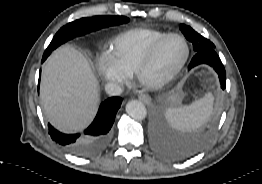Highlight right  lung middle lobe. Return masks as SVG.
Masks as SVG:
<instances>
[{
    "label": "right lung middle lobe",
    "instance_id": "obj_1",
    "mask_svg": "<svg viewBox=\"0 0 262 184\" xmlns=\"http://www.w3.org/2000/svg\"><path fill=\"white\" fill-rule=\"evenodd\" d=\"M129 22V18L124 16H94L81 18L63 26L54 36L51 43L43 54L46 59L50 53L64 42L85 33L95 31L108 26L119 25Z\"/></svg>",
    "mask_w": 262,
    "mask_h": 184
}]
</instances>
